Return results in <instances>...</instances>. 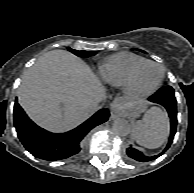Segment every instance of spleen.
<instances>
[{
  "label": "spleen",
  "mask_w": 194,
  "mask_h": 193,
  "mask_svg": "<svg viewBox=\"0 0 194 193\" xmlns=\"http://www.w3.org/2000/svg\"><path fill=\"white\" fill-rule=\"evenodd\" d=\"M169 135V119L158 107H152L142 120L135 123L134 137L136 142L146 148L154 149L163 145Z\"/></svg>",
  "instance_id": "obj_1"
}]
</instances>
